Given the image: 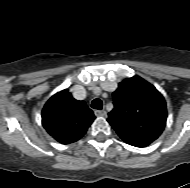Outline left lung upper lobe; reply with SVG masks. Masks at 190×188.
I'll return each instance as SVG.
<instances>
[{"label": "left lung upper lobe", "mask_w": 190, "mask_h": 188, "mask_svg": "<svg viewBox=\"0 0 190 188\" xmlns=\"http://www.w3.org/2000/svg\"><path fill=\"white\" fill-rule=\"evenodd\" d=\"M114 109L107 121L137 133L160 136L167 120L166 102L161 93L139 76L125 79L113 93Z\"/></svg>", "instance_id": "left-lung-upper-lobe-1"}]
</instances>
